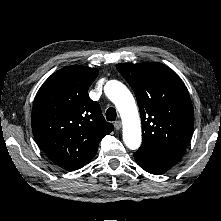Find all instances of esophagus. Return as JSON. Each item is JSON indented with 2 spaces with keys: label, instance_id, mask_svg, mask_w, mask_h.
I'll return each mask as SVG.
<instances>
[{
  "label": "esophagus",
  "instance_id": "34e87169",
  "mask_svg": "<svg viewBox=\"0 0 221 221\" xmlns=\"http://www.w3.org/2000/svg\"><path fill=\"white\" fill-rule=\"evenodd\" d=\"M121 126H122L121 121L118 120L114 122V127L116 130H120Z\"/></svg>",
  "mask_w": 221,
  "mask_h": 221
}]
</instances>
